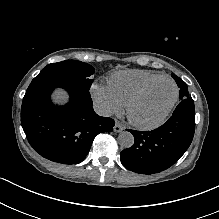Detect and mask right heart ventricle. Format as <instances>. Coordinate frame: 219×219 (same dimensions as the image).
Masks as SVG:
<instances>
[{"instance_id":"e07e8e85","label":"right heart ventricle","mask_w":219,"mask_h":219,"mask_svg":"<svg viewBox=\"0 0 219 219\" xmlns=\"http://www.w3.org/2000/svg\"><path fill=\"white\" fill-rule=\"evenodd\" d=\"M161 77L163 75L144 70H125L108 79V89L121 106H127L140 90Z\"/></svg>"}]
</instances>
